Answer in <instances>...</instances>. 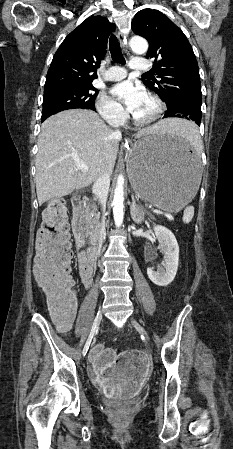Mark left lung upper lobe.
Returning a JSON list of instances; mask_svg holds the SVG:
<instances>
[{
    "mask_svg": "<svg viewBox=\"0 0 233 449\" xmlns=\"http://www.w3.org/2000/svg\"><path fill=\"white\" fill-rule=\"evenodd\" d=\"M132 30L148 40L146 58L154 60L152 72L160 78L143 83L165 101L167 109L183 104L201 110L199 68L182 30L167 16L152 9L136 13Z\"/></svg>",
    "mask_w": 233,
    "mask_h": 449,
    "instance_id": "5c2ea615",
    "label": "left lung upper lobe"
}]
</instances>
